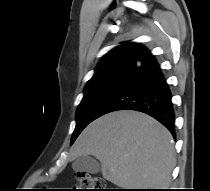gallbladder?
I'll return each instance as SVG.
<instances>
[{"mask_svg": "<svg viewBox=\"0 0 210 191\" xmlns=\"http://www.w3.org/2000/svg\"><path fill=\"white\" fill-rule=\"evenodd\" d=\"M72 168L76 172L97 174L100 172L101 166L93 157L89 155H83L74 160L72 163Z\"/></svg>", "mask_w": 210, "mask_h": 191, "instance_id": "obj_1", "label": "gallbladder"}]
</instances>
